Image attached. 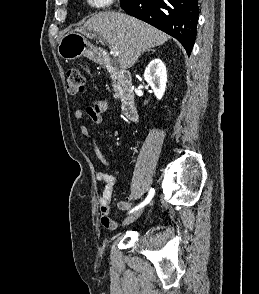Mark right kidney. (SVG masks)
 Wrapping results in <instances>:
<instances>
[{
  "mask_svg": "<svg viewBox=\"0 0 259 294\" xmlns=\"http://www.w3.org/2000/svg\"><path fill=\"white\" fill-rule=\"evenodd\" d=\"M144 79L151 86L157 99L164 95L167 82V71L160 59H153L145 69Z\"/></svg>",
  "mask_w": 259,
  "mask_h": 294,
  "instance_id": "obj_1",
  "label": "right kidney"
}]
</instances>
